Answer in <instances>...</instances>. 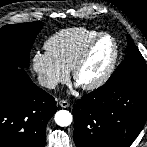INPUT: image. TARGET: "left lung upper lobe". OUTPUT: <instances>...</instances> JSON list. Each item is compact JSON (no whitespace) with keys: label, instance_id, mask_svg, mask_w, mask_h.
Segmentation results:
<instances>
[{"label":"left lung upper lobe","instance_id":"left-lung-upper-lobe-1","mask_svg":"<svg viewBox=\"0 0 147 147\" xmlns=\"http://www.w3.org/2000/svg\"><path fill=\"white\" fill-rule=\"evenodd\" d=\"M127 39V55L108 79L107 83L122 79L147 80V67L145 60L129 35Z\"/></svg>","mask_w":147,"mask_h":147}]
</instances>
